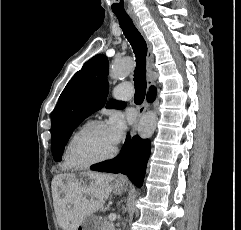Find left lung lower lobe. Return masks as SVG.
Instances as JSON below:
<instances>
[{"label": "left lung lower lobe", "instance_id": "left-lung-lower-lobe-1", "mask_svg": "<svg viewBox=\"0 0 241 230\" xmlns=\"http://www.w3.org/2000/svg\"><path fill=\"white\" fill-rule=\"evenodd\" d=\"M151 143L148 139L127 135L120 154L112 160L91 166V170L125 174L137 187H141L150 156Z\"/></svg>", "mask_w": 241, "mask_h": 230}]
</instances>
